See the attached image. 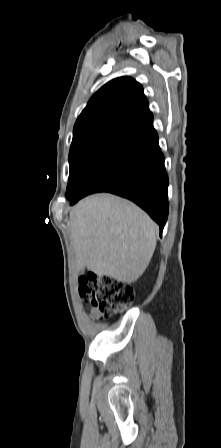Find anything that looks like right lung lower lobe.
I'll return each mask as SVG.
<instances>
[{"instance_id": "1", "label": "right lung lower lobe", "mask_w": 221, "mask_h": 448, "mask_svg": "<svg viewBox=\"0 0 221 448\" xmlns=\"http://www.w3.org/2000/svg\"><path fill=\"white\" fill-rule=\"evenodd\" d=\"M96 192H110L132 200L159 224L162 233L169 210L168 175L153 122L117 143L70 204Z\"/></svg>"}]
</instances>
